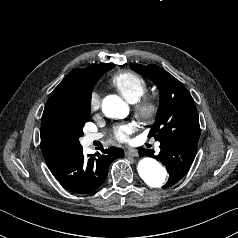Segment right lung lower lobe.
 Returning a JSON list of instances; mask_svg holds the SVG:
<instances>
[{
	"label": "right lung lower lobe",
	"mask_w": 238,
	"mask_h": 238,
	"mask_svg": "<svg viewBox=\"0 0 238 238\" xmlns=\"http://www.w3.org/2000/svg\"><path fill=\"white\" fill-rule=\"evenodd\" d=\"M123 156L121 148H102L101 153L85 158L80 146L65 160L49 169L56 180L70 192L92 193L104 183L112 161Z\"/></svg>",
	"instance_id": "98d812e1"
}]
</instances>
